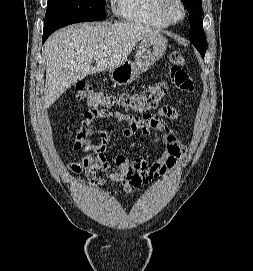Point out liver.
<instances>
[{"label": "liver", "instance_id": "liver-1", "mask_svg": "<svg viewBox=\"0 0 253 271\" xmlns=\"http://www.w3.org/2000/svg\"><path fill=\"white\" fill-rule=\"evenodd\" d=\"M154 33L159 32L133 22L82 23L53 33L43 49L44 107L49 108L67 88L86 76L122 64L141 39ZM93 59L95 67L91 66Z\"/></svg>", "mask_w": 253, "mask_h": 271}]
</instances>
